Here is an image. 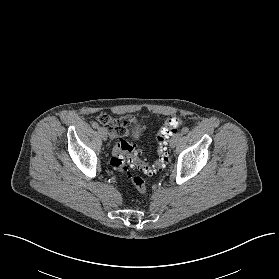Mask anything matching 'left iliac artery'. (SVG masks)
Returning a JSON list of instances; mask_svg holds the SVG:
<instances>
[{"mask_svg":"<svg viewBox=\"0 0 279 279\" xmlns=\"http://www.w3.org/2000/svg\"><path fill=\"white\" fill-rule=\"evenodd\" d=\"M188 131H189V128H188V127H184V128L182 129V133H183V134L188 133Z\"/></svg>","mask_w":279,"mask_h":279,"instance_id":"1","label":"left iliac artery"}]
</instances>
